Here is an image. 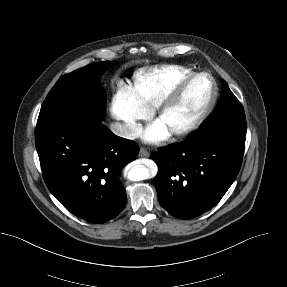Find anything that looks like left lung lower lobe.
<instances>
[{
    "label": "left lung lower lobe",
    "instance_id": "obj_1",
    "mask_svg": "<svg viewBox=\"0 0 287 287\" xmlns=\"http://www.w3.org/2000/svg\"><path fill=\"white\" fill-rule=\"evenodd\" d=\"M245 143L193 134L152 154L161 206L180 219H191L215 206L240 170Z\"/></svg>",
    "mask_w": 287,
    "mask_h": 287
}]
</instances>
